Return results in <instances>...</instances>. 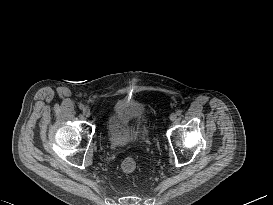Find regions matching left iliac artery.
I'll return each instance as SVG.
<instances>
[{
    "instance_id": "44dca946",
    "label": "left iliac artery",
    "mask_w": 273,
    "mask_h": 205,
    "mask_svg": "<svg viewBox=\"0 0 273 205\" xmlns=\"http://www.w3.org/2000/svg\"><path fill=\"white\" fill-rule=\"evenodd\" d=\"M176 113H177L178 116H180L182 114V111L178 110Z\"/></svg>"
}]
</instances>
